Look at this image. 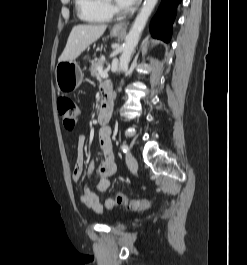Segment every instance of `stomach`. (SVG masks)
I'll use <instances>...</instances> for the list:
<instances>
[{"mask_svg":"<svg viewBox=\"0 0 247 265\" xmlns=\"http://www.w3.org/2000/svg\"><path fill=\"white\" fill-rule=\"evenodd\" d=\"M120 35V32H111L113 37ZM55 79L57 89L63 94H68L80 86L83 80V73L76 61H62L55 68Z\"/></svg>","mask_w":247,"mask_h":265,"instance_id":"obj_1","label":"stomach"}]
</instances>
